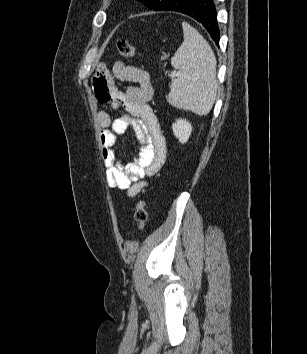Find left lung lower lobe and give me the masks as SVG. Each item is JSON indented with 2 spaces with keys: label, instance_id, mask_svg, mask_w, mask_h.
I'll list each match as a JSON object with an SVG mask.
<instances>
[{
  "label": "left lung lower lobe",
  "instance_id": "obj_1",
  "mask_svg": "<svg viewBox=\"0 0 307 354\" xmlns=\"http://www.w3.org/2000/svg\"><path fill=\"white\" fill-rule=\"evenodd\" d=\"M158 11H176L197 20L218 44L220 31L217 12L212 0H169Z\"/></svg>",
  "mask_w": 307,
  "mask_h": 354
}]
</instances>
